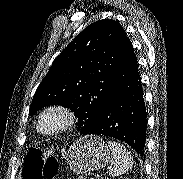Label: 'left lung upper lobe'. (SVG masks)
Returning <instances> with one entry per match:
<instances>
[{
    "mask_svg": "<svg viewBox=\"0 0 183 179\" xmlns=\"http://www.w3.org/2000/svg\"><path fill=\"white\" fill-rule=\"evenodd\" d=\"M127 40L114 20L86 27L54 60L35 92L29 115L45 106L68 107L78 117L77 130L88 134L109 101Z\"/></svg>",
    "mask_w": 183,
    "mask_h": 179,
    "instance_id": "obj_1",
    "label": "left lung upper lobe"
}]
</instances>
